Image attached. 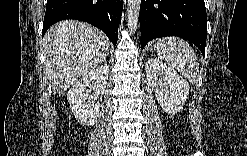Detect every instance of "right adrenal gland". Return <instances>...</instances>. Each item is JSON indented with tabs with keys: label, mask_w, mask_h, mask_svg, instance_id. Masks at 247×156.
<instances>
[{
	"label": "right adrenal gland",
	"mask_w": 247,
	"mask_h": 156,
	"mask_svg": "<svg viewBox=\"0 0 247 156\" xmlns=\"http://www.w3.org/2000/svg\"><path fill=\"white\" fill-rule=\"evenodd\" d=\"M107 55H109V53H107ZM107 55L102 59V63H104V64H106Z\"/></svg>",
	"instance_id": "2a0ac1e0"
}]
</instances>
